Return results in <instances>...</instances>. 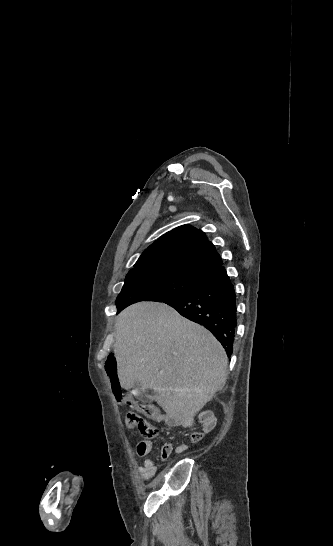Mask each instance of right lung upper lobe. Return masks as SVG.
Segmentation results:
<instances>
[{"mask_svg": "<svg viewBox=\"0 0 333 546\" xmlns=\"http://www.w3.org/2000/svg\"><path fill=\"white\" fill-rule=\"evenodd\" d=\"M222 264L221 257L205 233L183 225L150 245L127 276L165 272L201 280Z\"/></svg>", "mask_w": 333, "mask_h": 546, "instance_id": "obj_1", "label": "right lung upper lobe"}]
</instances>
